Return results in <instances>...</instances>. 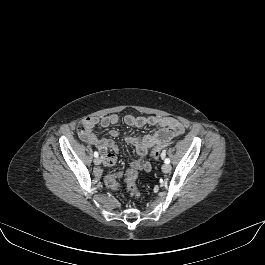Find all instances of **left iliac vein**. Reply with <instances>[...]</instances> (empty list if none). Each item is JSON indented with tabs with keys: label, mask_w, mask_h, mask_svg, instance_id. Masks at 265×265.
I'll return each instance as SVG.
<instances>
[{
	"label": "left iliac vein",
	"mask_w": 265,
	"mask_h": 265,
	"mask_svg": "<svg viewBox=\"0 0 265 265\" xmlns=\"http://www.w3.org/2000/svg\"><path fill=\"white\" fill-rule=\"evenodd\" d=\"M162 171H163L164 173H168V172H170V171H171V166H170L169 164H164V165L162 166Z\"/></svg>",
	"instance_id": "obj_1"
}]
</instances>
